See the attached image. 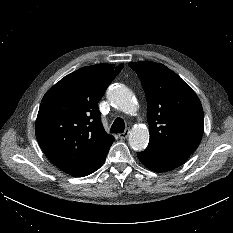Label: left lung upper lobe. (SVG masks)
Instances as JSON below:
<instances>
[{"label":"left lung upper lobe","instance_id":"left-lung-upper-lobe-1","mask_svg":"<svg viewBox=\"0 0 233 233\" xmlns=\"http://www.w3.org/2000/svg\"><path fill=\"white\" fill-rule=\"evenodd\" d=\"M128 65L139 76L146 94L148 146L192 154L204 129L203 109L196 93L163 64L139 61Z\"/></svg>","mask_w":233,"mask_h":233}]
</instances>
